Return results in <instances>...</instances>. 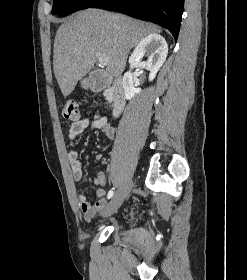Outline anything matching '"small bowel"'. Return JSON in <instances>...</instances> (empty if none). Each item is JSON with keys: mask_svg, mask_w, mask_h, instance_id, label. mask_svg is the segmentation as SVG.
I'll return each instance as SVG.
<instances>
[{"mask_svg": "<svg viewBox=\"0 0 247 280\" xmlns=\"http://www.w3.org/2000/svg\"><path fill=\"white\" fill-rule=\"evenodd\" d=\"M88 127L101 130L110 140L115 138V127L105 116L95 115L93 117H86L76 120L71 124L68 133L69 143L71 145L74 144L77 136ZM95 158L96 160H101L102 154H96ZM68 160L74 180L81 181L83 177V171L78 153L75 150H70L68 152ZM106 182L107 179L105 173L103 171H98L94 177V184L97 186H104ZM77 200L80 210L86 220H91L99 211L103 210L107 206L106 199L104 198V191L101 188L96 191L95 200L93 203H90L83 194H79Z\"/></svg>", "mask_w": 247, "mask_h": 280, "instance_id": "obj_1", "label": "small bowel"}]
</instances>
